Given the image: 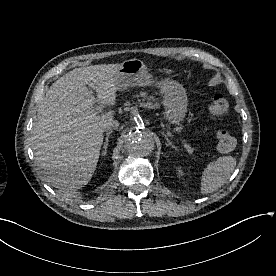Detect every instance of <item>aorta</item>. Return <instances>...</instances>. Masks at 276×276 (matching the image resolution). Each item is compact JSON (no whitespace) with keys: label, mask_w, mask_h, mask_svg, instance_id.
Here are the masks:
<instances>
[{"label":"aorta","mask_w":276,"mask_h":276,"mask_svg":"<svg viewBox=\"0 0 276 276\" xmlns=\"http://www.w3.org/2000/svg\"><path fill=\"white\" fill-rule=\"evenodd\" d=\"M125 147L130 154L145 157L154 149V138L149 133L132 130L128 134Z\"/></svg>","instance_id":"1"}]
</instances>
